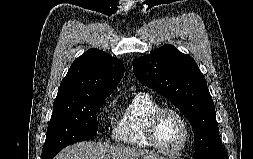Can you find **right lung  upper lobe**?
<instances>
[{
	"label": "right lung upper lobe",
	"mask_w": 253,
	"mask_h": 159,
	"mask_svg": "<svg viewBox=\"0 0 253 159\" xmlns=\"http://www.w3.org/2000/svg\"><path fill=\"white\" fill-rule=\"evenodd\" d=\"M124 75V65L107 53L90 49L75 59L56 99L80 95L108 96Z\"/></svg>",
	"instance_id": "right-lung-upper-lobe-1"
}]
</instances>
